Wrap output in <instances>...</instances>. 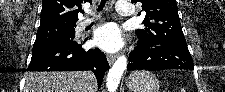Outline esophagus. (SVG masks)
Wrapping results in <instances>:
<instances>
[{"mask_svg":"<svg viewBox=\"0 0 225 92\" xmlns=\"http://www.w3.org/2000/svg\"><path fill=\"white\" fill-rule=\"evenodd\" d=\"M107 60H108V63L110 65H112L114 63V61L116 60V55L115 54H108L107 55Z\"/></svg>","mask_w":225,"mask_h":92,"instance_id":"obj_1","label":"esophagus"}]
</instances>
